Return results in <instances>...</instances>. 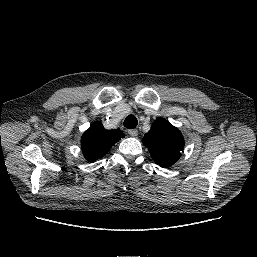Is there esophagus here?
<instances>
[{
	"label": "esophagus",
	"mask_w": 257,
	"mask_h": 257,
	"mask_svg": "<svg viewBox=\"0 0 257 257\" xmlns=\"http://www.w3.org/2000/svg\"><path fill=\"white\" fill-rule=\"evenodd\" d=\"M128 133L130 134V136L136 137L138 135V130L137 129H129Z\"/></svg>",
	"instance_id": "1"
}]
</instances>
